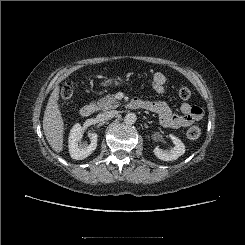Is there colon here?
I'll return each instance as SVG.
<instances>
[{
	"label": "colon",
	"mask_w": 245,
	"mask_h": 245,
	"mask_svg": "<svg viewBox=\"0 0 245 245\" xmlns=\"http://www.w3.org/2000/svg\"><path fill=\"white\" fill-rule=\"evenodd\" d=\"M74 94H75L74 85L71 83L64 84L60 92L62 105L69 103L73 99ZM190 96H191V91L189 88L182 87L179 89V97L181 99H188L190 98ZM200 135H201V130L199 127H191L187 131V137L191 140L198 139Z\"/></svg>",
	"instance_id": "obj_1"
}]
</instances>
